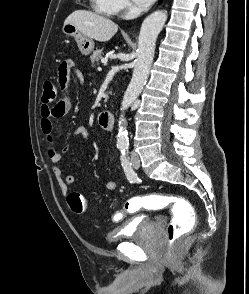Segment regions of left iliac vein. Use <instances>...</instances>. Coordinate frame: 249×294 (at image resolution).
<instances>
[{"label": "left iliac vein", "instance_id": "1", "mask_svg": "<svg viewBox=\"0 0 249 294\" xmlns=\"http://www.w3.org/2000/svg\"><path fill=\"white\" fill-rule=\"evenodd\" d=\"M131 163H132V165H133V167L135 168V169H138L139 167H140V160H139V157H138V155L136 154V153H132L131 154Z\"/></svg>", "mask_w": 249, "mask_h": 294}]
</instances>
